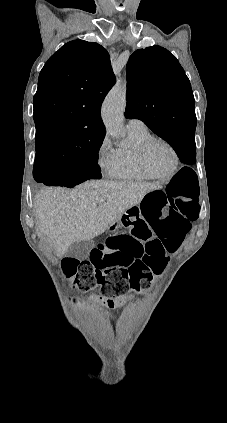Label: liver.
Segmentation results:
<instances>
[{"mask_svg": "<svg viewBox=\"0 0 227 423\" xmlns=\"http://www.w3.org/2000/svg\"><path fill=\"white\" fill-rule=\"evenodd\" d=\"M162 188L159 182H85L74 190L45 188L36 196V231L62 257L74 241H87L114 225L127 208ZM104 202H99V200Z\"/></svg>", "mask_w": 227, "mask_h": 423, "instance_id": "1", "label": "liver"}]
</instances>
